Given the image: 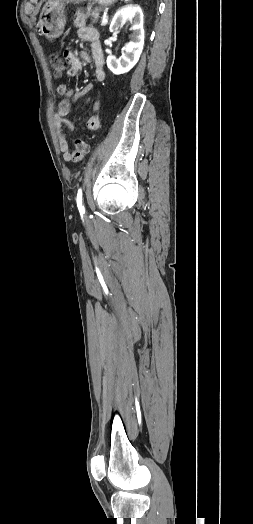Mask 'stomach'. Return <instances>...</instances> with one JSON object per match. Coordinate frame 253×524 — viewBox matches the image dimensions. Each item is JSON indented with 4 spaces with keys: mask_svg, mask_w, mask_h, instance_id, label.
Wrapping results in <instances>:
<instances>
[{
    "mask_svg": "<svg viewBox=\"0 0 253 524\" xmlns=\"http://www.w3.org/2000/svg\"><path fill=\"white\" fill-rule=\"evenodd\" d=\"M86 0H49L43 7L38 21L39 31L48 39L58 38L66 23L65 3H80ZM102 6H109L118 0H93Z\"/></svg>",
    "mask_w": 253,
    "mask_h": 524,
    "instance_id": "stomach-1",
    "label": "stomach"
}]
</instances>
